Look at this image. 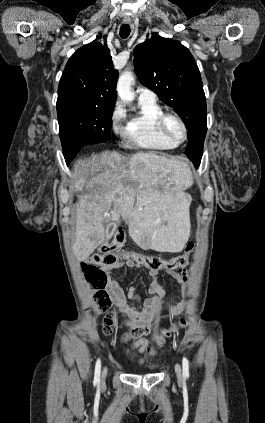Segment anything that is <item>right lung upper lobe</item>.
I'll return each mask as SVG.
<instances>
[{
  "instance_id": "obj_1",
  "label": "right lung upper lobe",
  "mask_w": 265,
  "mask_h": 423,
  "mask_svg": "<svg viewBox=\"0 0 265 423\" xmlns=\"http://www.w3.org/2000/svg\"><path fill=\"white\" fill-rule=\"evenodd\" d=\"M118 71L107 44L93 41L68 60L58 87V100H75L114 108Z\"/></svg>"
}]
</instances>
